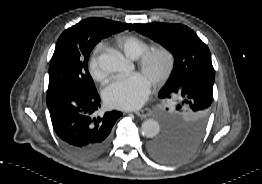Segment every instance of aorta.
Masks as SVG:
<instances>
[{"label": "aorta", "mask_w": 262, "mask_h": 184, "mask_svg": "<svg viewBox=\"0 0 262 184\" xmlns=\"http://www.w3.org/2000/svg\"><path fill=\"white\" fill-rule=\"evenodd\" d=\"M142 134L147 138H153L160 131V123L155 119H147L141 126Z\"/></svg>", "instance_id": "aorta-1"}]
</instances>
